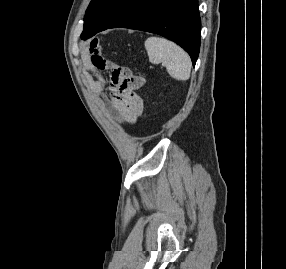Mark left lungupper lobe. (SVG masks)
Wrapping results in <instances>:
<instances>
[{
  "label": "left lung upper lobe",
  "mask_w": 286,
  "mask_h": 269,
  "mask_svg": "<svg viewBox=\"0 0 286 269\" xmlns=\"http://www.w3.org/2000/svg\"><path fill=\"white\" fill-rule=\"evenodd\" d=\"M143 0H92L84 17L82 39H87L114 24Z\"/></svg>",
  "instance_id": "5c2ea615"
}]
</instances>
